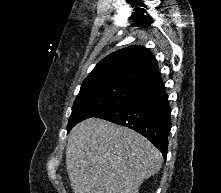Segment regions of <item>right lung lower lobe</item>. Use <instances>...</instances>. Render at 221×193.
<instances>
[{
	"mask_svg": "<svg viewBox=\"0 0 221 193\" xmlns=\"http://www.w3.org/2000/svg\"><path fill=\"white\" fill-rule=\"evenodd\" d=\"M96 117L135 130L157 147L166 159L171 108L161 79L144 86L126 103Z\"/></svg>",
	"mask_w": 221,
	"mask_h": 193,
	"instance_id": "right-lung-lower-lobe-1",
	"label": "right lung lower lobe"
}]
</instances>
